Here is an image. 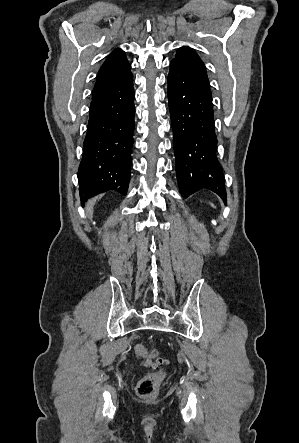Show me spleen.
<instances>
[{
	"instance_id": "obj_1",
	"label": "spleen",
	"mask_w": 299,
	"mask_h": 443,
	"mask_svg": "<svg viewBox=\"0 0 299 443\" xmlns=\"http://www.w3.org/2000/svg\"><path fill=\"white\" fill-rule=\"evenodd\" d=\"M212 207H214V204L210 203Z\"/></svg>"
}]
</instances>
